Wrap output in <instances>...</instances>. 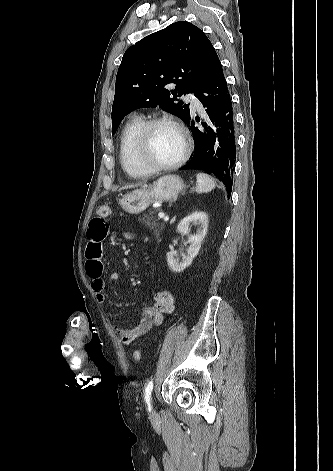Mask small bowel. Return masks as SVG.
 Segmentation results:
<instances>
[{"mask_svg": "<svg viewBox=\"0 0 333 471\" xmlns=\"http://www.w3.org/2000/svg\"><path fill=\"white\" fill-rule=\"evenodd\" d=\"M108 235L109 225L106 217L97 215L90 220L85 252L86 271L91 278V287L99 303L106 301L102 242ZM107 277L111 282L119 281L121 278L116 271L110 272ZM175 307L176 300L170 291H158L152 296L151 301L143 307L141 320L136 326L131 328L115 326L114 332L124 345H129L146 335L153 327L159 326L163 322L164 316L171 314Z\"/></svg>", "mask_w": 333, "mask_h": 471, "instance_id": "small-bowel-1", "label": "small bowel"}]
</instances>
